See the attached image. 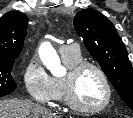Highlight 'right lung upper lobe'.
<instances>
[{
	"instance_id": "1",
	"label": "right lung upper lobe",
	"mask_w": 133,
	"mask_h": 118,
	"mask_svg": "<svg viewBox=\"0 0 133 118\" xmlns=\"http://www.w3.org/2000/svg\"><path fill=\"white\" fill-rule=\"evenodd\" d=\"M28 17L22 12H7L0 18V58L16 59L24 44Z\"/></svg>"
}]
</instances>
